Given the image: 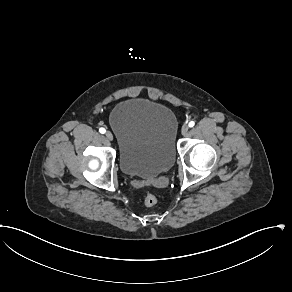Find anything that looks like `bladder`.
<instances>
[{
	"instance_id": "1",
	"label": "bladder",
	"mask_w": 292,
	"mask_h": 292,
	"mask_svg": "<svg viewBox=\"0 0 292 292\" xmlns=\"http://www.w3.org/2000/svg\"><path fill=\"white\" fill-rule=\"evenodd\" d=\"M109 124L125 174L151 178L174 164L178 121L166 105L145 98H128L113 108Z\"/></svg>"
}]
</instances>
